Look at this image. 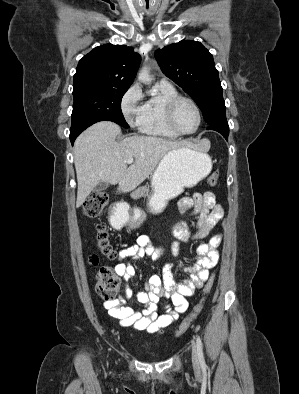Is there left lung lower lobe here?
Masks as SVG:
<instances>
[{"label": "left lung lower lobe", "mask_w": 299, "mask_h": 394, "mask_svg": "<svg viewBox=\"0 0 299 394\" xmlns=\"http://www.w3.org/2000/svg\"><path fill=\"white\" fill-rule=\"evenodd\" d=\"M207 129L219 132L227 140L229 134V127L227 122L209 125Z\"/></svg>", "instance_id": "obj_1"}]
</instances>
